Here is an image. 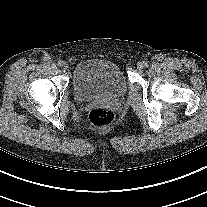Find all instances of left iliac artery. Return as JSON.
<instances>
[{"label": "left iliac artery", "instance_id": "obj_1", "mask_svg": "<svg viewBox=\"0 0 207 207\" xmlns=\"http://www.w3.org/2000/svg\"><path fill=\"white\" fill-rule=\"evenodd\" d=\"M143 62H144L145 67H148V62L147 61H143Z\"/></svg>", "mask_w": 207, "mask_h": 207}]
</instances>
